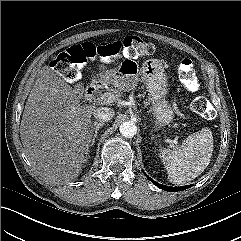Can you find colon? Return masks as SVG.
Segmentation results:
<instances>
[{
  "label": "colon",
  "instance_id": "5ec220e1",
  "mask_svg": "<svg viewBox=\"0 0 241 241\" xmlns=\"http://www.w3.org/2000/svg\"><path fill=\"white\" fill-rule=\"evenodd\" d=\"M153 51L154 46L152 43L137 36H129L123 41L102 46L84 43L71 47L58 54L50 62V66L66 81L74 82L79 78L80 69L87 60L99 59L102 62L110 63L118 59L121 55L129 59H136L150 55ZM179 77L188 91H197L198 82L195 76L194 64L191 59L184 58L180 62ZM191 108L197 114L206 115L208 113V102L203 97H197L192 101Z\"/></svg>",
  "mask_w": 241,
  "mask_h": 241
}]
</instances>
